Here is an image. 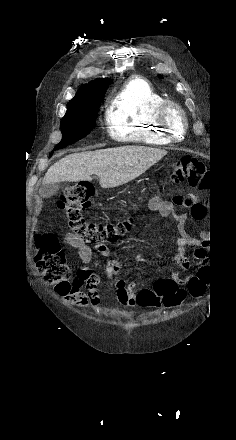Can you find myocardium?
I'll return each mask as SVG.
<instances>
[{
	"label": "myocardium",
	"mask_w": 236,
	"mask_h": 440,
	"mask_svg": "<svg viewBox=\"0 0 236 440\" xmlns=\"http://www.w3.org/2000/svg\"><path fill=\"white\" fill-rule=\"evenodd\" d=\"M174 111L181 119V134L180 136L173 130L169 115ZM156 122L161 130V132L172 142H180L184 139V136L188 127V119L183 108L176 102L171 100H164L157 108L155 114Z\"/></svg>",
	"instance_id": "myocardium-1"
}]
</instances>
